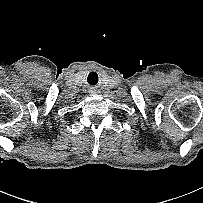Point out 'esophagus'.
<instances>
[{
	"mask_svg": "<svg viewBox=\"0 0 203 203\" xmlns=\"http://www.w3.org/2000/svg\"><path fill=\"white\" fill-rule=\"evenodd\" d=\"M89 93L94 94L96 93V90L94 88H90Z\"/></svg>",
	"mask_w": 203,
	"mask_h": 203,
	"instance_id": "esophagus-1",
	"label": "esophagus"
}]
</instances>
